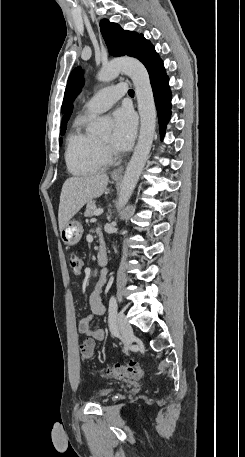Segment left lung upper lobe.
Instances as JSON below:
<instances>
[{
	"label": "left lung upper lobe",
	"instance_id": "1",
	"mask_svg": "<svg viewBox=\"0 0 245 457\" xmlns=\"http://www.w3.org/2000/svg\"><path fill=\"white\" fill-rule=\"evenodd\" d=\"M100 29L103 38L108 46L109 53L114 56H132L140 61L150 52L155 51L154 46L146 40L143 35L135 32L125 31L120 25L112 23L107 19L100 22ZM83 72L80 67L75 68L68 79L64 93L62 112H65L68 105L76 98L83 87Z\"/></svg>",
	"mask_w": 245,
	"mask_h": 457
}]
</instances>
